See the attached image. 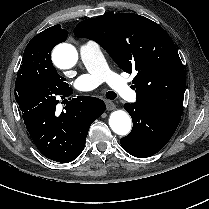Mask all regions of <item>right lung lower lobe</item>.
Listing matches in <instances>:
<instances>
[{
	"label": "right lung lower lobe",
	"instance_id": "right-lung-lower-lobe-1",
	"mask_svg": "<svg viewBox=\"0 0 209 209\" xmlns=\"http://www.w3.org/2000/svg\"><path fill=\"white\" fill-rule=\"evenodd\" d=\"M15 87L16 102L38 150L61 163L76 159L85 146L91 124L105 111V103L95 97L79 96L70 99L59 115L57 99L70 96V87L56 91L26 79L17 80Z\"/></svg>",
	"mask_w": 209,
	"mask_h": 209
}]
</instances>
